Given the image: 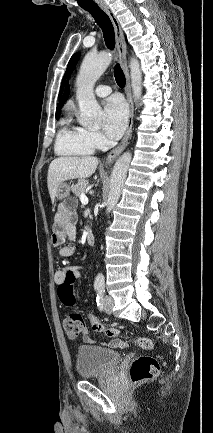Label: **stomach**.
I'll return each mask as SVG.
<instances>
[{
  "mask_svg": "<svg viewBox=\"0 0 213 433\" xmlns=\"http://www.w3.org/2000/svg\"><path fill=\"white\" fill-rule=\"evenodd\" d=\"M70 194V186L67 183H62L57 189L56 197L59 200L65 199Z\"/></svg>",
  "mask_w": 213,
  "mask_h": 433,
  "instance_id": "stomach-1",
  "label": "stomach"
}]
</instances>
